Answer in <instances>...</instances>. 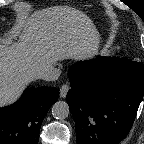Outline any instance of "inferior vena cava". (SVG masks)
<instances>
[{"label":"inferior vena cava","mask_w":144,"mask_h":144,"mask_svg":"<svg viewBox=\"0 0 144 144\" xmlns=\"http://www.w3.org/2000/svg\"><path fill=\"white\" fill-rule=\"evenodd\" d=\"M60 76V70L56 67H48L41 74V78L45 81H55Z\"/></svg>","instance_id":"602c4592"}]
</instances>
